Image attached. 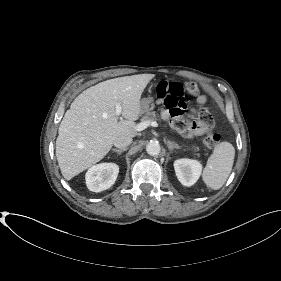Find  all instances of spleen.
<instances>
[{"label": "spleen", "instance_id": "obj_1", "mask_svg": "<svg viewBox=\"0 0 281 281\" xmlns=\"http://www.w3.org/2000/svg\"><path fill=\"white\" fill-rule=\"evenodd\" d=\"M235 157L234 146L227 141L217 144L203 170L204 183L213 190L220 189L229 177Z\"/></svg>", "mask_w": 281, "mask_h": 281}]
</instances>
